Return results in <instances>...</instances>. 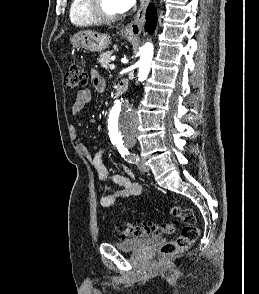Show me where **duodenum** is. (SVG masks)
Returning <instances> with one entry per match:
<instances>
[{
	"mask_svg": "<svg viewBox=\"0 0 259 294\" xmlns=\"http://www.w3.org/2000/svg\"><path fill=\"white\" fill-rule=\"evenodd\" d=\"M128 88V82L125 80H121L117 83L115 87V97L116 99H119L123 96V94L126 92Z\"/></svg>",
	"mask_w": 259,
	"mask_h": 294,
	"instance_id": "obj_1",
	"label": "duodenum"
}]
</instances>
